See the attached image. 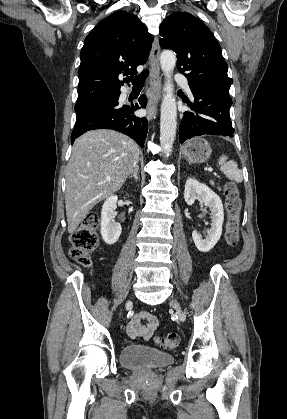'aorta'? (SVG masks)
Wrapping results in <instances>:
<instances>
[{
    "mask_svg": "<svg viewBox=\"0 0 287 419\" xmlns=\"http://www.w3.org/2000/svg\"><path fill=\"white\" fill-rule=\"evenodd\" d=\"M161 69L165 76L164 95L161 103L160 144L165 157H168L173 146L177 128V106L172 83V74L176 66V55L165 50L160 56Z\"/></svg>",
    "mask_w": 287,
    "mask_h": 419,
    "instance_id": "aorta-1",
    "label": "aorta"
}]
</instances>
